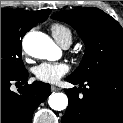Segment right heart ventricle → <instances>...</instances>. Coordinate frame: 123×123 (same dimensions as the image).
I'll return each instance as SVG.
<instances>
[{
  "mask_svg": "<svg viewBox=\"0 0 123 123\" xmlns=\"http://www.w3.org/2000/svg\"><path fill=\"white\" fill-rule=\"evenodd\" d=\"M52 35L58 43L64 41L72 42V33L68 27L63 24L55 23L51 26Z\"/></svg>",
  "mask_w": 123,
  "mask_h": 123,
  "instance_id": "1",
  "label": "right heart ventricle"
}]
</instances>
